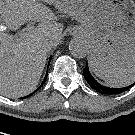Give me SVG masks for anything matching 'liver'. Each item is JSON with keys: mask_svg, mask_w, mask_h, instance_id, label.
Instances as JSON below:
<instances>
[{"mask_svg": "<svg viewBox=\"0 0 135 135\" xmlns=\"http://www.w3.org/2000/svg\"><path fill=\"white\" fill-rule=\"evenodd\" d=\"M0 18V94L19 98L36 89L48 53L62 38L63 24L37 0H0ZM29 21L39 24L20 37L7 33Z\"/></svg>", "mask_w": 135, "mask_h": 135, "instance_id": "obj_1", "label": "liver"}]
</instances>
